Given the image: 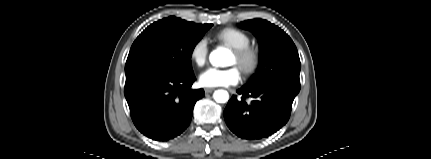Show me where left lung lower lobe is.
Wrapping results in <instances>:
<instances>
[{
	"instance_id": "1",
	"label": "left lung lower lobe",
	"mask_w": 431,
	"mask_h": 159,
	"mask_svg": "<svg viewBox=\"0 0 431 159\" xmlns=\"http://www.w3.org/2000/svg\"><path fill=\"white\" fill-rule=\"evenodd\" d=\"M300 83L289 79H274L257 87L240 88L241 99L232 96L225 110L224 119L229 129L238 137L258 140L282 128L290 117ZM246 98H252L250 103Z\"/></svg>"
}]
</instances>
